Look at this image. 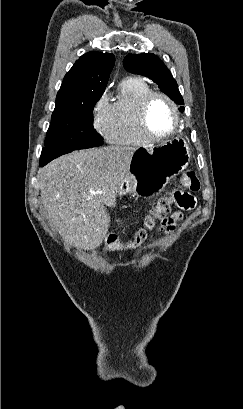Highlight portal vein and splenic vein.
Returning <instances> with one entry per match:
<instances>
[{"label": "portal vein and splenic vein", "mask_w": 243, "mask_h": 409, "mask_svg": "<svg viewBox=\"0 0 243 409\" xmlns=\"http://www.w3.org/2000/svg\"><path fill=\"white\" fill-rule=\"evenodd\" d=\"M99 193H101V192L100 191L95 192L94 190H90L91 195H95V194H99Z\"/></svg>", "instance_id": "portal-vein-and-splenic-vein-1"}]
</instances>
